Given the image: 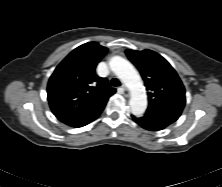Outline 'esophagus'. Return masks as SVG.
Segmentation results:
<instances>
[{"label":"esophagus","instance_id":"34e87169","mask_svg":"<svg viewBox=\"0 0 222 187\" xmlns=\"http://www.w3.org/2000/svg\"><path fill=\"white\" fill-rule=\"evenodd\" d=\"M121 90H122V93L125 95V96H128L129 95V90L127 89V87L125 85H122L121 86Z\"/></svg>","mask_w":222,"mask_h":187}]
</instances>
